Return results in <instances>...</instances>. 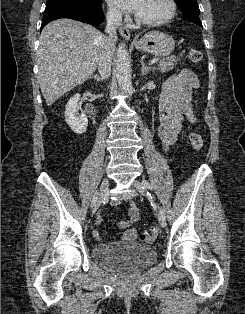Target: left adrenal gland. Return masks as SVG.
<instances>
[{"label": "left adrenal gland", "mask_w": 245, "mask_h": 314, "mask_svg": "<svg viewBox=\"0 0 245 314\" xmlns=\"http://www.w3.org/2000/svg\"><path fill=\"white\" fill-rule=\"evenodd\" d=\"M140 65H141V75L142 76L147 75L151 71V67L146 66L143 59L140 60Z\"/></svg>", "instance_id": "left-adrenal-gland-1"}]
</instances>
